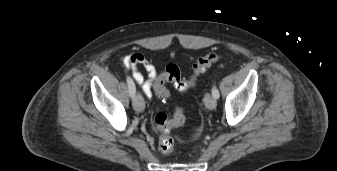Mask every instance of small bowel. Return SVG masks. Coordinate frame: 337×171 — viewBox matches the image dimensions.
Instances as JSON below:
<instances>
[{
    "label": "small bowel",
    "instance_id": "obj_1",
    "mask_svg": "<svg viewBox=\"0 0 337 171\" xmlns=\"http://www.w3.org/2000/svg\"><path fill=\"white\" fill-rule=\"evenodd\" d=\"M122 65L132 71L134 80L141 87L144 95L151 98L155 82L160 76L155 67L141 53H131L125 56L122 59Z\"/></svg>",
    "mask_w": 337,
    "mask_h": 171
}]
</instances>
